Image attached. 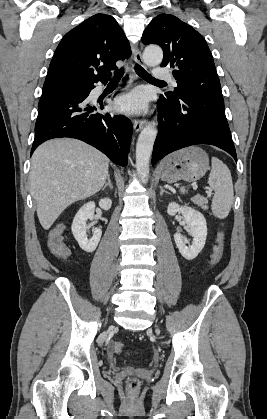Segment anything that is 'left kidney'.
<instances>
[{
    "label": "left kidney",
    "mask_w": 267,
    "mask_h": 419,
    "mask_svg": "<svg viewBox=\"0 0 267 419\" xmlns=\"http://www.w3.org/2000/svg\"><path fill=\"white\" fill-rule=\"evenodd\" d=\"M177 212H181L193 236V241L192 245L188 247L180 233L174 235V240L181 255L187 260H192L198 256L205 245L207 237L206 219L202 213L192 207L180 206L175 202L170 203L167 213L174 216Z\"/></svg>",
    "instance_id": "obj_1"
}]
</instances>
